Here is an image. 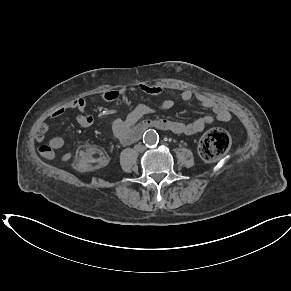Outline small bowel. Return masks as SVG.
<instances>
[{"label": "small bowel", "instance_id": "obj_1", "mask_svg": "<svg viewBox=\"0 0 291 291\" xmlns=\"http://www.w3.org/2000/svg\"><path fill=\"white\" fill-rule=\"evenodd\" d=\"M141 91L161 96L165 94V88L159 85L141 83L139 85ZM127 94L126 89H109L102 94V99L106 102H115ZM183 101L196 100L205 109L211 110L212 114L204 115L191 122H182L168 119L160 120H144V116L155 113L157 110H170L174 107V101L170 98L164 99L157 107H152L146 104L137 105L129 114L126 119H117L112 126L114 136L125 145L131 144L142 136L146 131L145 126L150 125L153 128H158L164 131H169L175 134L193 135L203 131L207 126L215 121L229 122L232 115L228 107L210 96L197 93L192 90H184L181 94ZM69 110L77 112L75 116L76 123L82 128H89L94 125L95 119L88 111L87 100L85 98H77L65 105H62L52 111L47 120L43 121L38 129L36 140L43 143L45 136L49 130V120H55L64 116ZM66 142L62 137L55 136L49 139L47 145L39 147L40 154L50 160L59 159L61 161H68L71 159V153H64L58 155L55 150L61 149L65 146Z\"/></svg>", "mask_w": 291, "mask_h": 291}]
</instances>
